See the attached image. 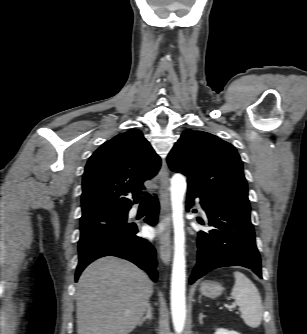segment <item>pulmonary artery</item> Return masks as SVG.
<instances>
[{"label":"pulmonary artery","instance_id":"1","mask_svg":"<svg viewBox=\"0 0 307 334\" xmlns=\"http://www.w3.org/2000/svg\"><path fill=\"white\" fill-rule=\"evenodd\" d=\"M198 207H199L201 213H202L204 216H206V212H205V210L203 209V207H202V205H201L200 203H198ZM135 213H136V209L133 208V209L130 211V214H131V215H134Z\"/></svg>","mask_w":307,"mask_h":334}]
</instances>
